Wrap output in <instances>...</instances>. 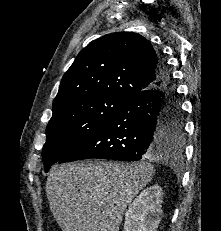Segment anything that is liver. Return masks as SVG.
Listing matches in <instances>:
<instances>
[{
    "instance_id": "obj_1",
    "label": "liver",
    "mask_w": 221,
    "mask_h": 231,
    "mask_svg": "<svg viewBox=\"0 0 221 231\" xmlns=\"http://www.w3.org/2000/svg\"><path fill=\"white\" fill-rule=\"evenodd\" d=\"M153 174L147 162L55 165L46 182L51 212L63 231H119L128 205Z\"/></svg>"
}]
</instances>
